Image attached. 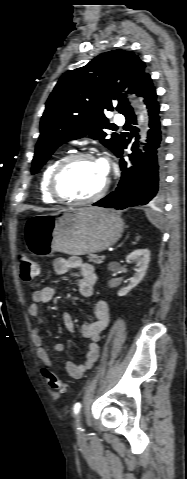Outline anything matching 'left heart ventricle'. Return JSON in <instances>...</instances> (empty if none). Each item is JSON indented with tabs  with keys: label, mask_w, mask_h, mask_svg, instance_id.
Returning <instances> with one entry per match:
<instances>
[{
	"label": "left heart ventricle",
	"mask_w": 187,
	"mask_h": 479,
	"mask_svg": "<svg viewBox=\"0 0 187 479\" xmlns=\"http://www.w3.org/2000/svg\"><path fill=\"white\" fill-rule=\"evenodd\" d=\"M105 179L106 175L96 160L81 159L64 171L59 188L67 196L87 198L100 190Z\"/></svg>",
	"instance_id": "b2bd125f"
}]
</instances>
